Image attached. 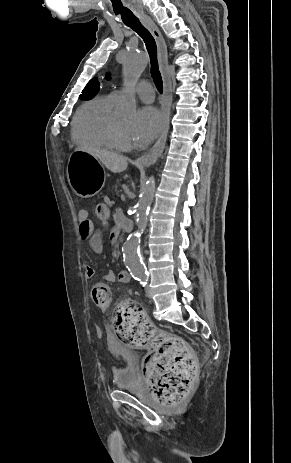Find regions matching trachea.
<instances>
[{
  "mask_svg": "<svg viewBox=\"0 0 291 463\" xmlns=\"http://www.w3.org/2000/svg\"><path fill=\"white\" fill-rule=\"evenodd\" d=\"M144 40L151 61V75L157 89L162 92L163 81L158 68L157 46L154 37L140 21L125 23Z\"/></svg>",
  "mask_w": 291,
  "mask_h": 463,
  "instance_id": "3493384b",
  "label": "trachea"
}]
</instances>
